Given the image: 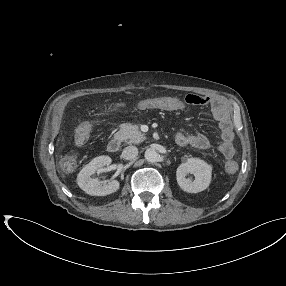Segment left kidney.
Returning <instances> with one entry per match:
<instances>
[{
	"label": "left kidney",
	"instance_id": "1",
	"mask_svg": "<svg viewBox=\"0 0 286 286\" xmlns=\"http://www.w3.org/2000/svg\"><path fill=\"white\" fill-rule=\"evenodd\" d=\"M211 165L199 158H189L180 164L176 171L178 185L186 192L198 193L205 190L211 181ZM193 174L195 179L186 178L188 174Z\"/></svg>",
	"mask_w": 286,
	"mask_h": 286
}]
</instances>
